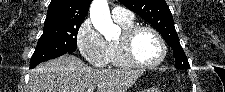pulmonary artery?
Here are the masks:
<instances>
[{"mask_svg": "<svg viewBox=\"0 0 225 92\" xmlns=\"http://www.w3.org/2000/svg\"><path fill=\"white\" fill-rule=\"evenodd\" d=\"M112 17L116 22H130L134 19L133 13L131 11L120 6L113 8Z\"/></svg>", "mask_w": 225, "mask_h": 92, "instance_id": "e3ab8cb5", "label": "pulmonary artery"}]
</instances>
